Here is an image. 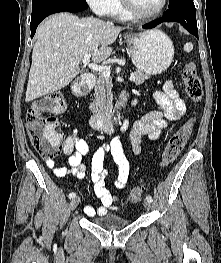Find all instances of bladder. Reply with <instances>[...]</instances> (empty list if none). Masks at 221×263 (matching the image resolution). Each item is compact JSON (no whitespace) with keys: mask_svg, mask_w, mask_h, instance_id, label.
Returning a JSON list of instances; mask_svg holds the SVG:
<instances>
[{"mask_svg":"<svg viewBox=\"0 0 221 263\" xmlns=\"http://www.w3.org/2000/svg\"><path fill=\"white\" fill-rule=\"evenodd\" d=\"M92 223L100 228L106 230H118L129 225V221L120 217L117 214H104L100 216H95Z\"/></svg>","mask_w":221,"mask_h":263,"instance_id":"bladder-1","label":"bladder"}]
</instances>
